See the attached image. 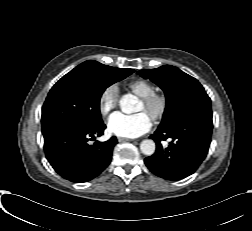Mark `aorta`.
<instances>
[{
  "mask_svg": "<svg viewBox=\"0 0 252 231\" xmlns=\"http://www.w3.org/2000/svg\"><path fill=\"white\" fill-rule=\"evenodd\" d=\"M137 98L132 94L123 95L120 99V108L122 112L131 114L135 111V104ZM156 149L155 142L151 139H145L140 143V150L144 155L151 156L154 154Z\"/></svg>",
  "mask_w": 252,
  "mask_h": 231,
  "instance_id": "obj_1",
  "label": "aorta"
}]
</instances>
